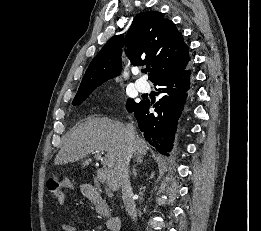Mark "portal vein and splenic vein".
Here are the masks:
<instances>
[{
  "instance_id": "portal-vein-and-splenic-vein-1",
  "label": "portal vein and splenic vein",
  "mask_w": 261,
  "mask_h": 231,
  "mask_svg": "<svg viewBox=\"0 0 261 231\" xmlns=\"http://www.w3.org/2000/svg\"><path fill=\"white\" fill-rule=\"evenodd\" d=\"M101 153H103V152H93V154H95V158L97 159V160H101V161H103V158H102V155H101ZM97 178H98V180L101 182V183H104L105 181H106V174H105V171L103 170V169H99L98 171H97Z\"/></svg>"
}]
</instances>
